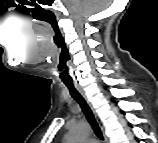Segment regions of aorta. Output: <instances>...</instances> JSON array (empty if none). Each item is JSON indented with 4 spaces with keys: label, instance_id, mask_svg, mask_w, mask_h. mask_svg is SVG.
<instances>
[{
    "label": "aorta",
    "instance_id": "aorta-1",
    "mask_svg": "<svg viewBox=\"0 0 158 143\" xmlns=\"http://www.w3.org/2000/svg\"><path fill=\"white\" fill-rule=\"evenodd\" d=\"M89 128L85 122H79L70 131L68 141L79 142L82 141L88 134Z\"/></svg>",
    "mask_w": 158,
    "mask_h": 143
}]
</instances>
